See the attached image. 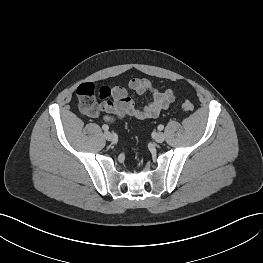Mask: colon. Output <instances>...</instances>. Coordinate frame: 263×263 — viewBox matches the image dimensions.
<instances>
[{"mask_svg": "<svg viewBox=\"0 0 263 263\" xmlns=\"http://www.w3.org/2000/svg\"><path fill=\"white\" fill-rule=\"evenodd\" d=\"M111 95V90L107 86L96 88L92 83H82L76 90L78 105L85 113L91 112L96 106V100H104ZM182 109L186 112H191L194 106L191 102L185 101L182 104Z\"/></svg>", "mask_w": 263, "mask_h": 263, "instance_id": "colon-1", "label": "colon"}]
</instances>
